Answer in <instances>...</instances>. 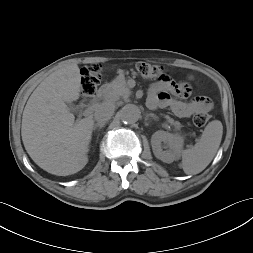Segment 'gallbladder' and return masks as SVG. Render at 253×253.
I'll use <instances>...</instances> for the list:
<instances>
[{"mask_svg": "<svg viewBox=\"0 0 253 253\" xmlns=\"http://www.w3.org/2000/svg\"><path fill=\"white\" fill-rule=\"evenodd\" d=\"M67 107L70 111H76L77 107L73 103H67Z\"/></svg>", "mask_w": 253, "mask_h": 253, "instance_id": "gallbladder-1", "label": "gallbladder"}]
</instances>
